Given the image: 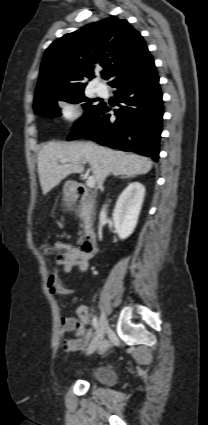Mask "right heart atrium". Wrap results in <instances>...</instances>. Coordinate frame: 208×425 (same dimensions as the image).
Masks as SVG:
<instances>
[{"instance_id":"d8ad5b80","label":"right heart atrium","mask_w":208,"mask_h":425,"mask_svg":"<svg viewBox=\"0 0 208 425\" xmlns=\"http://www.w3.org/2000/svg\"><path fill=\"white\" fill-rule=\"evenodd\" d=\"M62 115L68 121H75L79 118L80 113L73 105H64L62 108Z\"/></svg>"}]
</instances>
